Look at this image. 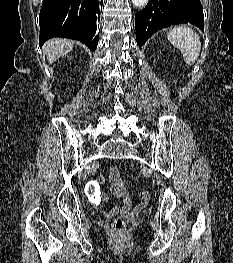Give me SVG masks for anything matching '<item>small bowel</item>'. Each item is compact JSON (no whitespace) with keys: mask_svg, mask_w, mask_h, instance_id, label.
<instances>
[{"mask_svg":"<svg viewBox=\"0 0 233 263\" xmlns=\"http://www.w3.org/2000/svg\"><path fill=\"white\" fill-rule=\"evenodd\" d=\"M110 180H111L112 194L117 198L123 199V204L120 207H115L114 209H112L111 214H115L118 212H127L131 208V201L127 197V189L122 181L118 169L115 166L111 168ZM97 182L99 184H102L104 182V178L99 177ZM107 200L108 197L105 194H102L100 202H94V203L99 209L104 210Z\"/></svg>","mask_w":233,"mask_h":263,"instance_id":"obj_1","label":"small bowel"}]
</instances>
